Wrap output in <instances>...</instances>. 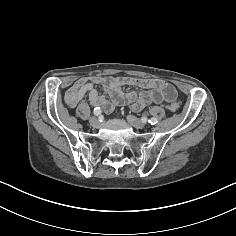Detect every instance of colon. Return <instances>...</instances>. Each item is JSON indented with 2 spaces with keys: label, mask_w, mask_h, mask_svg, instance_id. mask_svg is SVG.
<instances>
[{
  "label": "colon",
  "mask_w": 236,
  "mask_h": 236,
  "mask_svg": "<svg viewBox=\"0 0 236 236\" xmlns=\"http://www.w3.org/2000/svg\"><path fill=\"white\" fill-rule=\"evenodd\" d=\"M168 109L172 112H175L179 109V103L174 102L168 106Z\"/></svg>",
  "instance_id": "colon-1"
}]
</instances>
